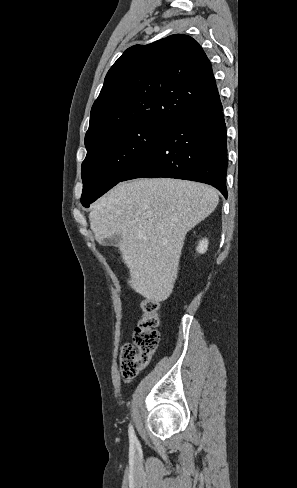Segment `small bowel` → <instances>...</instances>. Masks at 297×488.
<instances>
[{
  "mask_svg": "<svg viewBox=\"0 0 297 488\" xmlns=\"http://www.w3.org/2000/svg\"><path fill=\"white\" fill-rule=\"evenodd\" d=\"M125 381L128 383V382H131L132 380H131V378H128Z\"/></svg>",
  "mask_w": 297,
  "mask_h": 488,
  "instance_id": "c3829d8e",
  "label": "small bowel"
}]
</instances>
